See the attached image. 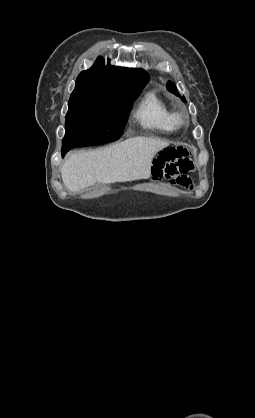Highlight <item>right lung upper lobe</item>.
I'll return each instance as SVG.
<instances>
[{
    "instance_id": "cb5924a9",
    "label": "right lung upper lobe",
    "mask_w": 255,
    "mask_h": 418,
    "mask_svg": "<svg viewBox=\"0 0 255 418\" xmlns=\"http://www.w3.org/2000/svg\"><path fill=\"white\" fill-rule=\"evenodd\" d=\"M149 75L142 69H128L108 64L98 58L88 70L82 71L72 93L84 91L129 92L143 88Z\"/></svg>"
}]
</instances>
